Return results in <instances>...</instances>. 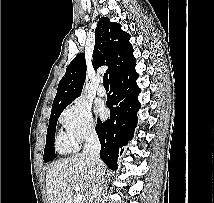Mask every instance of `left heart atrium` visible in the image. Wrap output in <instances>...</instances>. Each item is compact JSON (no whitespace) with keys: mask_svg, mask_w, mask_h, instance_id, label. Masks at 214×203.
<instances>
[{"mask_svg":"<svg viewBox=\"0 0 214 203\" xmlns=\"http://www.w3.org/2000/svg\"><path fill=\"white\" fill-rule=\"evenodd\" d=\"M97 112H98L99 114H103V112H104L103 107L100 106V107L97 109Z\"/></svg>","mask_w":214,"mask_h":203,"instance_id":"1","label":"left heart atrium"}]
</instances>
